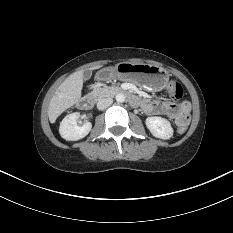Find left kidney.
Listing matches in <instances>:
<instances>
[{
  "instance_id": "obj_1",
  "label": "left kidney",
  "mask_w": 233,
  "mask_h": 233,
  "mask_svg": "<svg viewBox=\"0 0 233 233\" xmlns=\"http://www.w3.org/2000/svg\"><path fill=\"white\" fill-rule=\"evenodd\" d=\"M145 123L151 134L156 138L167 140L173 136V128L165 118L156 116L148 117Z\"/></svg>"
}]
</instances>
